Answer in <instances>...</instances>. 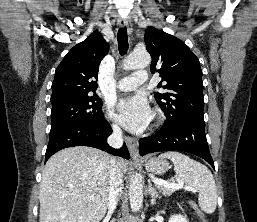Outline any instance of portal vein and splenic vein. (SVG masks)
<instances>
[{
    "instance_id": "18ae733b",
    "label": "portal vein and splenic vein",
    "mask_w": 257,
    "mask_h": 222,
    "mask_svg": "<svg viewBox=\"0 0 257 222\" xmlns=\"http://www.w3.org/2000/svg\"><path fill=\"white\" fill-rule=\"evenodd\" d=\"M156 185H161V186H165L168 188H171L173 190L175 189H185V190H189L192 191L193 189L190 187H184L182 183H172V182H168V181H164L162 179H153L152 180ZM93 196H90L89 199H93Z\"/></svg>"
}]
</instances>
